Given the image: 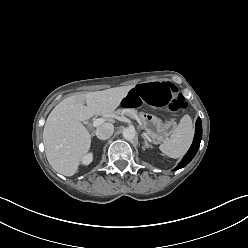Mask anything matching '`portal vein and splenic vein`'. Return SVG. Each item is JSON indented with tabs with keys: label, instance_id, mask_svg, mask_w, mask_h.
Listing matches in <instances>:
<instances>
[{
	"label": "portal vein and splenic vein",
	"instance_id": "18ae733b",
	"mask_svg": "<svg viewBox=\"0 0 248 248\" xmlns=\"http://www.w3.org/2000/svg\"><path fill=\"white\" fill-rule=\"evenodd\" d=\"M104 121L105 120L103 118H98V119L93 121V126L94 127L100 126L102 123H104Z\"/></svg>",
	"mask_w": 248,
	"mask_h": 248
}]
</instances>
